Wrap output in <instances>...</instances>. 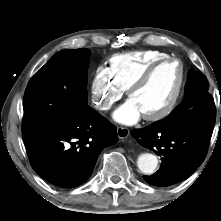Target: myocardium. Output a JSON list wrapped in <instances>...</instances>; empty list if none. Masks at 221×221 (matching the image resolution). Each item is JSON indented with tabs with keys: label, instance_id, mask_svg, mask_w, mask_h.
Wrapping results in <instances>:
<instances>
[{
	"label": "myocardium",
	"instance_id": "myocardium-1",
	"mask_svg": "<svg viewBox=\"0 0 221 221\" xmlns=\"http://www.w3.org/2000/svg\"><path fill=\"white\" fill-rule=\"evenodd\" d=\"M171 62L177 63L180 68V80H179V84L177 86V89H176L173 97L169 101V103L163 109H161L160 111H158L154 114L143 115V118L146 121H150V122L160 121V120L166 118L167 116H169L176 108L178 102L180 101V99L182 97V94L184 92L185 85H186L187 71H186V67H185L184 63L180 59L174 58V57H167L164 59H160V60L152 63L151 65H149L144 70V72L127 89V94L131 98V96L133 95L134 92L139 90L141 87H143L150 80V78L156 72V70H158L163 65H166Z\"/></svg>",
	"mask_w": 221,
	"mask_h": 221
}]
</instances>
